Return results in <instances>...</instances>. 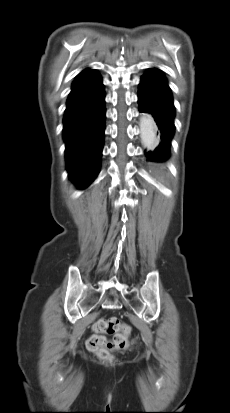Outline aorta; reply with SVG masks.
Returning <instances> with one entry per match:
<instances>
[{
	"label": "aorta",
	"mask_w": 230,
	"mask_h": 413,
	"mask_svg": "<svg viewBox=\"0 0 230 413\" xmlns=\"http://www.w3.org/2000/svg\"><path fill=\"white\" fill-rule=\"evenodd\" d=\"M140 137L144 147L152 148L156 142V130L151 115L143 114L140 118Z\"/></svg>",
	"instance_id": "obj_1"
}]
</instances>
